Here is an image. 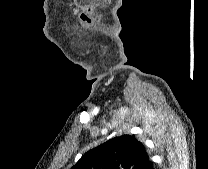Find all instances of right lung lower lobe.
Listing matches in <instances>:
<instances>
[{"label":"right lung lower lobe","instance_id":"1","mask_svg":"<svg viewBox=\"0 0 208 169\" xmlns=\"http://www.w3.org/2000/svg\"><path fill=\"white\" fill-rule=\"evenodd\" d=\"M149 169H153V166L151 165V166L149 167Z\"/></svg>","mask_w":208,"mask_h":169}]
</instances>
